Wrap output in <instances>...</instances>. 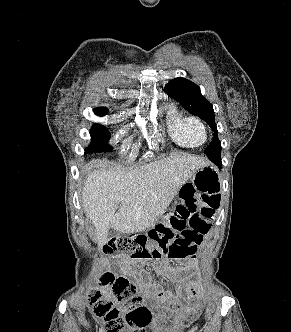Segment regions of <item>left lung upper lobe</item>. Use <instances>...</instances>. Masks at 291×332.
I'll return each instance as SVG.
<instances>
[{
    "label": "left lung upper lobe",
    "mask_w": 291,
    "mask_h": 332,
    "mask_svg": "<svg viewBox=\"0 0 291 332\" xmlns=\"http://www.w3.org/2000/svg\"><path fill=\"white\" fill-rule=\"evenodd\" d=\"M165 91L179 101L191 114L199 116L209 124L214 131V137L210 146L205 150V154L210 160L220 157L221 143L218 139L213 106L202 96L200 87L187 79L178 77L165 85Z\"/></svg>",
    "instance_id": "1"
}]
</instances>
